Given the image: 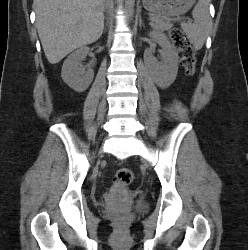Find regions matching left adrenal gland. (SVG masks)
<instances>
[{
    "label": "left adrenal gland",
    "instance_id": "obj_1",
    "mask_svg": "<svg viewBox=\"0 0 248 250\" xmlns=\"http://www.w3.org/2000/svg\"><path fill=\"white\" fill-rule=\"evenodd\" d=\"M139 26H140V28L142 27V20H141V18H140V21H139Z\"/></svg>",
    "mask_w": 248,
    "mask_h": 250
}]
</instances>
